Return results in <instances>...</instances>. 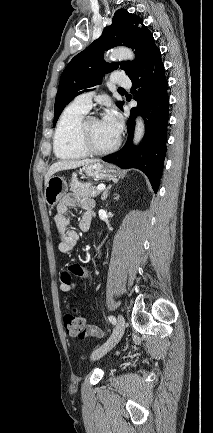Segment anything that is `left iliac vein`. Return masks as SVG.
<instances>
[{
  "label": "left iliac vein",
  "instance_id": "1",
  "mask_svg": "<svg viewBox=\"0 0 213 433\" xmlns=\"http://www.w3.org/2000/svg\"><path fill=\"white\" fill-rule=\"evenodd\" d=\"M124 330H125V320L123 316L119 314L117 318V325L114 329V332L101 347H99L92 353L91 358L93 360L99 359L103 355H105L108 351H110L120 341L121 337L124 334Z\"/></svg>",
  "mask_w": 213,
  "mask_h": 433
}]
</instances>
